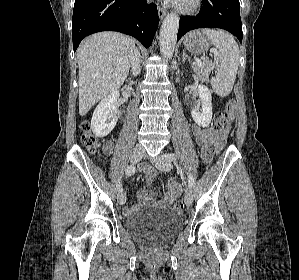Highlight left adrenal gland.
Wrapping results in <instances>:
<instances>
[{"label":"left adrenal gland","instance_id":"a2214340","mask_svg":"<svg viewBox=\"0 0 299 280\" xmlns=\"http://www.w3.org/2000/svg\"><path fill=\"white\" fill-rule=\"evenodd\" d=\"M186 60L190 62V58L188 57L186 50H183L182 63L184 64Z\"/></svg>","mask_w":299,"mask_h":280}]
</instances>
